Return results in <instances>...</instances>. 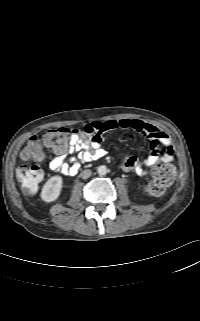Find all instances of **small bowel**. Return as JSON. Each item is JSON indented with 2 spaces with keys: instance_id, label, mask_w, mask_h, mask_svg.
Listing matches in <instances>:
<instances>
[{
  "instance_id": "c3829d8e",
  "label": "small bowel",
  "mask_w": 200,
  "mask_h": 321,
  "mask_svg": "<svg viewBox=\"0 0 200 321\" xmlns=\"http://www.w3.org/2000/svg\"><path fill=\"white\" fill-rule=\"evenodd\" d=\"M120 129L127 136L132 137L134 132L142 134L151 142L149 154L140 160L135 155H125L122 160V169L133 171L138 176H145L149 169L160 160H164L170 153L173 156L172 143L169 136L161 129L139 119H119L109 121H93L85 124L81 130H75L70 136L64 150L54 149L56 156L50 161L52 171L63 175H75L81 162H89L103 156L101 134L111 133ZM159 145H164L166 151L163 156L159 154ZM76 153L65 161V153ZM42 157L39 159L41 160Z\"/></svg>"
}]
</instances>
